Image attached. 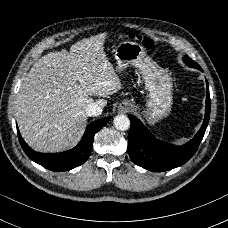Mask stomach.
I'll list each match as a JSON object with an SVG mask.
<instances>
[{"mask_svg": "<svg viewBox=\"0 0 228 228\" xmlns=\"http://www.w3.org/2000/svg\"><path fill=\"white\" fill-rule=\"evenodd\" d=\"M114 57L117 62L116 71L118 73L130 65L141 72L145 87L149 91L146 109L143 111L147 122L154 125L162 118L167 117L173 104L171 76L166 71L155 67L144 48L136 42L119 43L115 49ZM120 104L132 105L126 100ZM132 109L136 111L137 107L133 106Z\"/></svg>", "mask_w": 228, "mask_h": 228, "instance_id": "0dacf381", "label": "stomach"}]
</instances>
